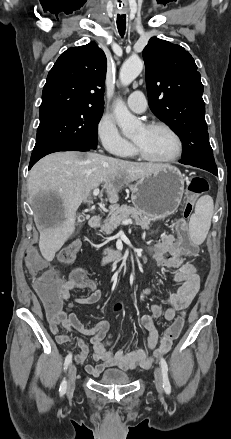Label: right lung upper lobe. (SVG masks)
I'll return each mask as SVG.
<instances>
[{
    "label": "right lung upper lobe",
    "instance_id": "cb5924a9",
    "mask_svg": "<svg viewBox=\"0 0 231 439\" xmlns=\"http://www.w3.org/2000/svg\"><path fill=\"white\" fill-rule=\"evenodd\" d=\"M106 68V56L95 42L66 50L47 76L40 117L68 109H103Z\"/></svg>",
    "mask_w": 231,
    "mask_h": 439
}]
</instances>
